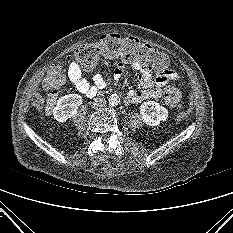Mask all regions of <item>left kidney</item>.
I'll return each instance as SVG.
<instances>
[{
    "mask_svg": "<svg viewBox=\"0 0 233 233\" xmlns=\"http://www.w3.org/2000/svg\"><path fill=\"white\" fill-rule=\"evenodd\" d=\"M140 115L147 125L157 126L168 117V110L155 101H147L140 106Z\"/></svg>",
    "mask_w": 233,
    "mask_h": 233,
    "instance_id": "obj_1",
    "label": "left kidney"
}]
</instances>
